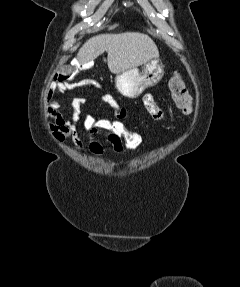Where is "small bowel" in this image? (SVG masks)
Segmentation results:
<instances>
[{
  "mask_svg": "<svg viewBox=\"0 0 240 287\" xmlns=\"http://www.w3.org/2000/svg\"><path fill=\"white\" fill-rule=\"evenodd\" d=\"M95 87L100 88L101 85L95 82ZM63 93L64 90L56 81L51 82L45 97L48 114L54 120L51 131L55 140L59 142L71 140L75 149L80 152L84 149L85 144L78 135V125L71 117H65L60 112L59 96ZM98 98L112 108L117 118L124 120L127 117L128 109L120 106L112 95L105 93L101 94ZM83 101L86 102L87 99L83 97ZM142 103L153 120L163 121L165 119L163 110L156 104L152 94L145 93L142 97ZM104 137L105 142L112 147L116 154L123 153L124 147L121 142L113 141L106 136ZM88 148L96 157H101L104 154L103 141L96 134H90Z\"/></svg>",
  "mask_w": 240,
  "mask_h": 287,
  "instance_id": "1",
  "label": "small bowel"
}]
</instances>
